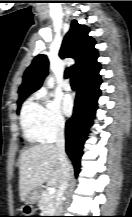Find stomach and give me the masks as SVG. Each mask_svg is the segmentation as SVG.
<instances>
[{
	"instance_id": "obj_1",
	"label": "stomach",
	"mask_w": 132,
	"mask_h": 217,
	"mask_svg": "<svg viewBox=\"0 0 132 217\" xmlns=\"http://www.w3.org/2000/svg\"><path fill=\"white\" fill-rule=\"evenodd\" d=\"M41 189L38 187V188H35L33 189L26 197V203L29 204V205H33V204H36L40 198H41Z\"/></svg>"
}]
</instances>
